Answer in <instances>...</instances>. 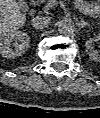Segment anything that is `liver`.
Instances as JSON below:
<instances>
[{
    "instance_id": "liver-1",
    "label": "liver",
    "mask_w": 100,
    "mask_h": 118,
    "mask_svg": "<svg viewBox=\"0 0 100 118\" xmlns=\"http://www.w3.org/2000/svg\"><path fill=\"white\" fill-rule=\"evenodd\" d=\"M23 1V0H18ZM21 6L16 0L0 1V34L6 35L21 28L26 22V15L21 13Z\"/></svg>"
}]
</instances>
